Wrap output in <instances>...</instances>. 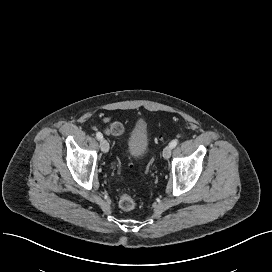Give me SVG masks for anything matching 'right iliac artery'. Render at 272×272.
<instances>
[{
    "mask_svg": "<svg viewBox=\"0 0 272 272\" xmlns=\"http://www.w3.org/2000/svg\"><path fill=\"white\" fill-rule=\"evenodd\" d=\"M97 139L101 140L103 138V135L100 132L96 133Z\"/></svg>",
    "mask_w": 272,
    "mask_h": 272,
    "instance_id": "right-iliac-artery-1",
    "label": "right iliac artery"
}]
</instances>
